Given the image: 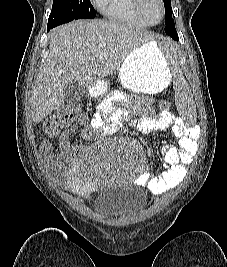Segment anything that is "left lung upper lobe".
Returning a JSON list of instances; mask_svg holds the SVG:
<instances>
[{"mask_svg": "<svg viewBox=\"0 0 227 267\" xmlns=\"http://www.w3.org/2000/svg\"><path fill=\"white\" fill-rule=\"evenodd\" d=\"M165 5V22L166 26L170 24H174V20L172 18V8H171V0H163Z\"/></svg>", "mask_w": 227, "mask_h": 267, "instance_id": "left-lung-upper-lobe-1", "label": "left lung upper lobe"}]
</instances>
